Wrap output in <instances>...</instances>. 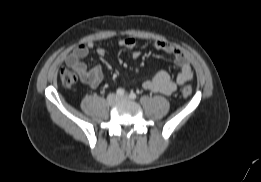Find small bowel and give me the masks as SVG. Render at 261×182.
Instances as JSON below:
<instances>
[{
	"mask_svg": "<svg viewBox=\"0 0 261 182\" xmlns=\"http://www.w3.org/2000/svg\"><path fill=\"white\" fill-rule=\"evenodd\" d=\"M117 45L130 50L136 47V40L132 37H127L118 40ZM152 45L154 48L165 52L172 56L175 63L180 68L176 79H172L170 74L166 71H160L152 79L143 83V88L154 93H162L169 95L173 93L178 86L190 81L193 77V71L190 65L189 57L178 47L162 40H154ZM90 49H95L98 56L103 57L106 54L104 46L96 45L90 41L79 45L73 52L66 57V64L78 73L81 80L89 87L99 86L104 79L103 70L100 66L89 68L83 61L89 54ZM140 52L134 50L132 57L139 58Z\"/></svg>",
	"mask_w": 261,
	"mask_h": 182,
	"instance_id": "obj_1",
	"label": "small bowel"
}]
</instances>
